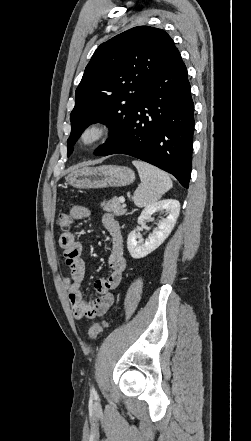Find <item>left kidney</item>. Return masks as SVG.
Segmentation results:
<instances>
[{"mask_svg": "<svg viewBox=\"0 0 251 441\" xmlns=\"http://www.w3.org/2000/svg\"><path fill=\"white\" fill-rule=\"evenodd\" d=\"M158 211L167 214L165 218H161L157 223L148 239L143 241L141 237L132 231L127 238V248L130 255L135 258H143L156 250L172 232L180 212V203L174 199L162 200L146 206L138 217V224H143L146 220L151 219L152 215Z\"/></svg>", "mask_w": 251, "mask_h": 441, "instance_id": "1", "label": "left kidney"}]
</instances>
